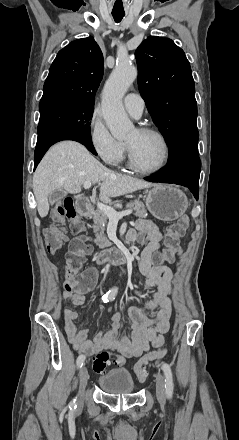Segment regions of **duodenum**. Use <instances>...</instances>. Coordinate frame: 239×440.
Segmentation results:
<instances>
[{"label": "duodenum", "mask_w": 239, "mask_h": 440, "mask_svg": "<svg viewBox=\"0 0 239 440\" xmlns=\"http://www.w3.org/2000/svg\"><path fill=\"white\" fill-rule=\"evenodd\" d=\"M76 208L78 213L82 216H88L92 212V206L87 197H79L76 201ZM126 259V252L118 248L104 250L96 256V261L98 264H119L125 262Z\"/></svg>", "instance_id": "duodenum-1"}]
</instances>
